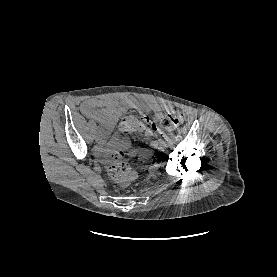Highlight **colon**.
Returning a JSON list of instances; mask_svg holds the SVG:
<instances>
[{"mask_svg":"<svg viewBox=\"0 0 277 277\" xmlns=\"http://www.w3.org/2000/svg\"><path fill=\"white\" fill-rule=\"evenodd\" d=\"M183 113L174 110L164 115L159 121V127L164 130H173L183 122ZM150 126L149 120L141 115H127L123 117L119 124V129L123 133L144 132ZM156 125L153 128L156 129ZM148 153L154 151L151 144L146 148ZM126 153L123 151H115L111 156L109 165V174L113 181L122 187H129L137 178V172L126 162Z\"/></svg>","mask_w":277,"mask_h":277,"instance_id":"obj_1","label":"colon"}]
</instances>
